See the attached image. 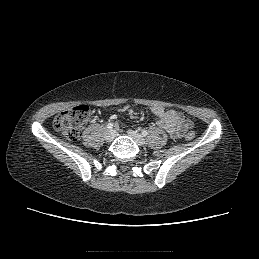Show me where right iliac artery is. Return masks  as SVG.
Masks as SVG:
<instances>
[{
  "instance_id": "82829eb1",
  "label": "right iliac artery",
  "mask_w": 259,
  "mask_h": 259,
  "mask_svg": "<svg viewBox=\"0 0 259 259\" xmlns=\"http://www.w3.org/2000/svg\"><path fill=\"white\" fill-rule=\"evenodd\" d=\"M107 128H108V129H112V128H113V123H108V124H107Z\"/></svg>"
}]
</instances>
